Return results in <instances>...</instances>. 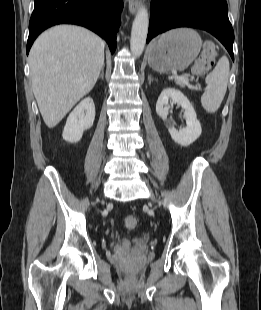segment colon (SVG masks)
Masks as SVG:
<instances>
[{
    "mask_svg": "<svg viewBox=\"0 0 261 310\" xmlns=\"http://www.w3.org/2000/svg\"><path fill=\"white\" fill-rule=\"evenodd\" d=\"M216 56L217 52L215 46L213 44L205 45L193 66L194 73L202 74L208 71L212 67ZM124 223L127 229L132 230L137 227L138 220L134 215H128L125 217Z\"/></svg>",
    "mask_w": 261,
    "mask_h": 310,
    "instance_id": "colon-1",
    "label": "colon"
}]
</instances>
